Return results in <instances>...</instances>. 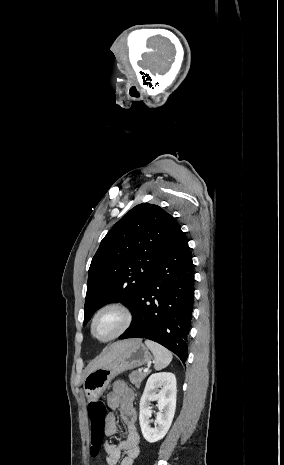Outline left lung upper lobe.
<instances>
[{"label": "left lung upper lobe", "mask_w": 284, "mask_h": 465, "mask_svg": "<svg viewBox=\"0 0 284 465\" xmlns=\"http://www.w3.org/2000/svg\"><path fill=\"white\" fill-rule=\"evenodd\" d=\"M180 230L175 218L157 205L143 203L127 212L103 238L92 259L84 325L107 302L123 301L132 307Z\"/></svg>", "instance_id": "1"}]
</instances>
